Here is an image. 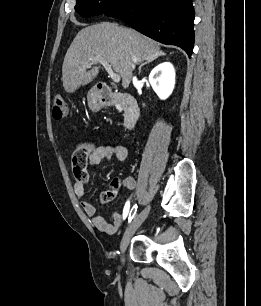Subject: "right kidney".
I'll return each mask as SVG.
<instances>
[{
	"mask_svg": "<svg viewBox=\"0 0 261 306\" xmlns=\"http://www.w3.org/2000/svg\"><path fill=\"white\" fill-rule=\"evenodd\" d=\"M149 82L160 99H167L175 85L173 65L169 62H164L156 66L149 75Z\"/></svg>",
	"mask_w": 261,
	"mask_h": 306,
	"instance_id": "obj_1",
	"label": "right kidney"
}]
</instances>
